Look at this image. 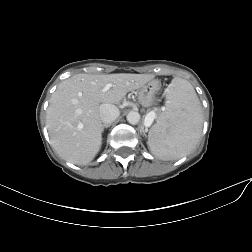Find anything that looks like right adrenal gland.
Returning a JSON list of instances; mask_svg holds the SVG:
<instances>
[{
    "mask_svg": "<svg viewBox=\"0 0 252 252\" xmlns=\"http://www.w3.org/2000/svg\"><path fill=\"white\" fill-rule=\"evenodd\" d=\"M110 126H111V124H104V125L102 126V131H104L105 128H108V127H110Z\"/></svg>",
    "mask_w": 252,
    "mask_h": 252,
    "instance_id": "2a0ac1e0",
    "label": "right adrenal gland"
}]
</instances>
